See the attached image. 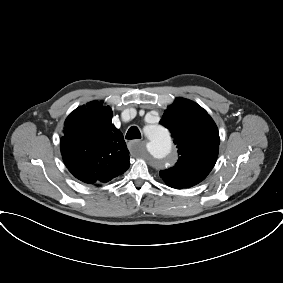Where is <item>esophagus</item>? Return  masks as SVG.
Masks as SVG:
<instances>
[{
	"instance_id": "obj_1",
	"label": "esophagus",
	"mask_w": 283,
	"mask_h": 283,
	"mask_svg": "<svg viewBox=\"0 0 283 283\" xmlns=\"http://www.w3.org/2000/svg\"><path fill=\"white\" fill-rule=\"evenodd\" d=\"M143 142L140 140H134V141H130L128 143V148L129 149H135L137 148L139 145H141Z\"/></svg>"
}]
</instances>
